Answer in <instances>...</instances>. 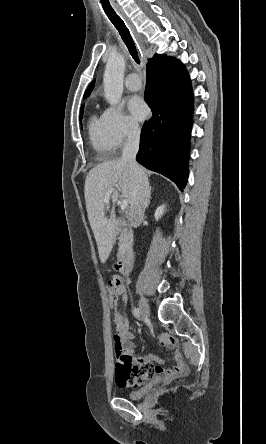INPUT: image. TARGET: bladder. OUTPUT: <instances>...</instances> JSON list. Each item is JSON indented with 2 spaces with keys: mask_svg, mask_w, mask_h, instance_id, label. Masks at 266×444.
<instances>
[{
  "mask_svg": "<svg viewBox=\"0 0 266 444\" xmlns=\"http://www.w3.org/2000/svg\"><path fill=\"white\" fill-rule=\"evenodd\" d=\"M158 383V379H153L142 388L128 390L126 395L131 399H140L149 394Z\"/></svg>",
  "mask_w": 266,
  "mask_h": 444,
  "instance_id": "1",
  "label": "bladder"
}]
</instances>
